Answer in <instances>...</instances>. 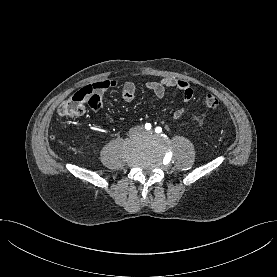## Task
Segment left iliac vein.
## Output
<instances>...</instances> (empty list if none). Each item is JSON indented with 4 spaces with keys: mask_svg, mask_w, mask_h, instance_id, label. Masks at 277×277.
Masks as SVG:
<instances>
[{
    "mask_svg": "<svg viewBox=\"0 0 277 277\" xmlns=\"http://www.w3.org/2000/svg\"><path fill=\"white\" fill-rule=\"evenodd\" d=\"M146 135H152V131L145 132Z\"/></svg>",
    "mask_w": 277,
    "mask_h": 277,
    "instance_id": "obj_1",
    "label": "left iliac vein"
}]
</instances>
